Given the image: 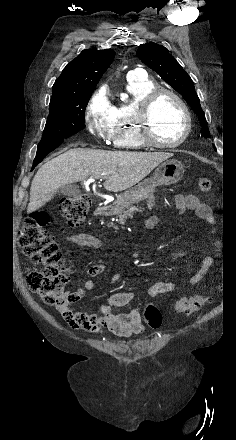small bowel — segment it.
Segmentation results:
<instances>
[{
    "label": "small bowel",
    "instance_id": "small-bowel-1",
    "mask_svg": "<svg viewBox=\"0 0 236 440\" xmlns=\"http://www.w3.org/2000/svg\"><path fill=\"white\" fill-rule=\"evenodd\" d=\"M174 202L177 209L181 212L186 210H193L197 216L207 222L209 225L215 224V218L212 215L210 207L201 202L195 195H176ZM158 222L157 216H152L147 219L146 225L148 228H153ZM67 242L74 243L81 247H88L98 249L101 246V240L89 233H74L70 234L65 239ZM185 254L184 249H180L172 255V258H178ZM211 266V258L208 256L204 259L202 265L196 274L190 279L191 285L198 284L208 272ZM104 271L103 265L95 264L89 267L88 275L93 278L100 275ZM121 279V275L116 273L111 277V282L116 283ZM96 286L93 279H88L84 282L83 287L72 292H68L71 305L79 301L85 291H92ZM176 284L170 281H159L153 283L148 288V295L156 297L160 294L169 293L176 289ZM134 300L132 292H116L112 294L105 303L100 306V314H88L83 312H74L70 309L71 315L74 319H87L88 321H70V330H106L119 337H130L132 335L140 334L145 330L141 321L140 312L132 307L128 313L116 314L112 311L115 307H125L131 305ZM70 305V306H71Z\"/></svg>",
    "mask_w": 236,
    "mask_h": 440
}]
</instances>
